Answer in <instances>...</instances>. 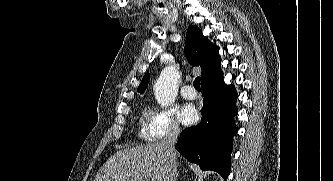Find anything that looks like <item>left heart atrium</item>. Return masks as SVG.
Masks as SVG:
<instances>
[{
	"instance_id": "39dd6f15",
	"label": "left heart atrium",
	"mask_w": 333,
	"mask_h": 181,
	"mask_svg": "<svg viewBox=\"0 0 333 181\" xmlns=\"http://www.w3.org/2000/svg\"><path fill=\"white\" fill-rule=\"evenodd\" d=\"M179 120L185 124H191L196 119L197 113L195 108L191 104H185L182 106L181 110L179 111Z\"/></svg>"
}]
</instances>
